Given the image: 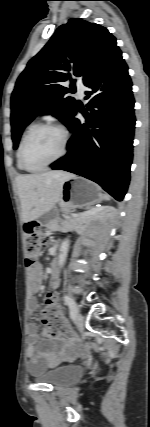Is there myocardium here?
Segmentation results:
<instances>
[{
	"label": "myocardium",
	"instance_id": "1",
	"mask_svg": "<svg viewBox=\"0 0 150 427\" xmlns=\"http://www.w3.org/2000/svg\"><path fill=\"white\" fill-rule=\"evenodd\" d=\"M42 129H52V130H56L61 134V139H62V145H61V151L60 153L50 162L44 164L43 166H40L38 168H29L27 167V165L25 164V159H24V155H25V149L27 146L28 141L30 140V138L39 130ZM67 149H68V134L66 132V130L57 124L54 123H40V124H36L34 125L29 132L27 133V135L25 136V138L23 139V142L21 144V148H20V163L22 165V168L28 172H39L42 171L46 168H48L49 166L53 165L54 163L58 162L59 160H61L67 153Z\"/></svg>",
	"mask_w": 150,
	"mask_h": 427
}]
</instances>
